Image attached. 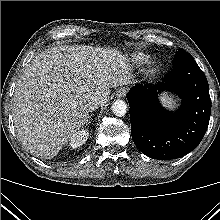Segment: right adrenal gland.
I'll return each mask as SVG.
<instances>
[{
    "instance_id": "1",
    "label": "right adrenal gland",
    "mask_w": 220,
    "mask_h": 220,
    "mask_svg": "<svg viewBox=\"0 0 220 220\" xmlns=\"http://www.w3.org/2000/svg\"><path fill=\"white\" fill-rule=\"evenodd\" d=\"M92 114L88 117V120H87V123L86 125H88L91 121H90V118H91Z\"/></svg>"
}]
</instances>
